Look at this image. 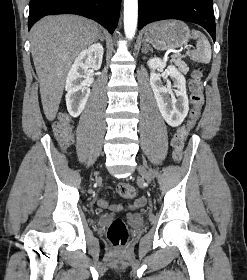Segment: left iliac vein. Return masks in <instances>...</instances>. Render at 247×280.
Segmentation results:
<instances>
[{"mask_svg":"<svg viewBox=\"0 0 247 280\" xmlns=\"http://www.w3.org/2000/svg\"><path fill=\"white\" fill-rule=\"evenodd\" d=\"M138 171L140 173V175L145 178L148 182L151 181V176L150 174L148 173V171L146 170V168L144 166H139L138 167Z\"/></svg>","mask_w":247,"mask_h":280,"instance_id":"1","label":"left iliac vein"}]
</instances>
